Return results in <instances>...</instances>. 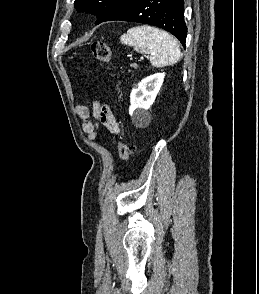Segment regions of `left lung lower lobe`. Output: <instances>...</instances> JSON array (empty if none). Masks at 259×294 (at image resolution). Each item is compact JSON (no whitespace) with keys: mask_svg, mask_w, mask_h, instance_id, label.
Listing matches in <instances>:
<instances>
[{"mask_svg":"<svg viewBox=\"0 0 259 294\" xmlns=\"http://www.w3.org/2000/svg\"><path fill=\"white\" fill-rule=\"evenodd\" d=\"M112 20L158 26L176 36L185 46L187 27L183 0H125L104 21Z\"/></svg>","mask_w":259,"mask_h":294,"instance_id":"0a47b994","label":"left lung lower lobe"}]
</instances>
